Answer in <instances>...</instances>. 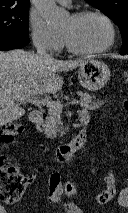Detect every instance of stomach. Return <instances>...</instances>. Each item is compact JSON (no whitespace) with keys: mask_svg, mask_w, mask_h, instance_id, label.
I'll return each mask as SVG.
<instances>
[{"mask_svg":"<svg viewBox=\"0 0 128 213\" xmlns=\"http://www.w3.org/2000/svg\"><path fill=\"white\" fill-rule=\"evenodd\" d=\"M109 79V67L99 60L86 61L78 71V80L81 86L89 91L101 89Z\"/></svg>","mask_w":128,"mask_h":213,"instance_id":"stomach-1","label":"stomach"}]
</instances>
